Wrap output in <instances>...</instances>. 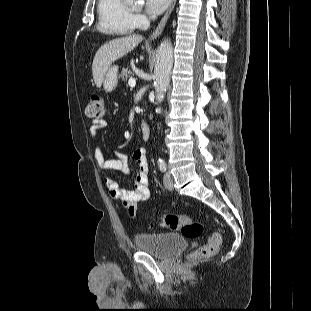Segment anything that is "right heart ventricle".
<instances>
[{"label": "right heart ventricle", "mask_w": 311, "mask_h": 311, "mask_svg": "<svg viewBox=\"0 0 311 311\" xmlns=\"http://www.w3.org/2000/svg\"><path fill=\"white\" fill-rule=\"evenodd\" d=\"M98 29L106 34L123 36L132 33L136 22L124 0H98Z\"/></svg>", "instance_id": "obj_1"}]
</instances>
